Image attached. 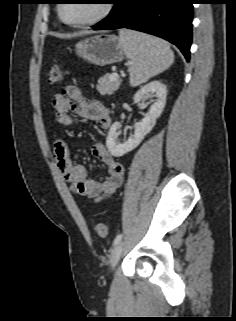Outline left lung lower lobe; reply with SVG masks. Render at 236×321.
I'll list each match as a JSON object with an SVG mask.
<instances>
[{
    "instance_id": "1",
    "label": "left lung lower lobe",
    "mask_w": 236,
    "mask_h": 321,
    "mask_svg": "<svg viewBox=\"0 0 236 321\" xmlns=\"http://www.w3.org/2000/svg\"><path fill=\"white\" fill-rule=\"evenodd\" d=\"M196 0H115L109 16L94 30L128 28L163 38L190 59L193 5Z\"/></svg>"
}]
</instances>
